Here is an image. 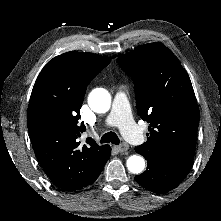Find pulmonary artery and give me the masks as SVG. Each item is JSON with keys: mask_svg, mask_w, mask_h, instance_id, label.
<instances>
[{"mask_svg": "<svg viewBox=\"0 0 221 221\" xmlns=\"http://www.w3.org/2000/svg\"><path fill=\"white\" fill-rule=\"evenodd\" d=\"M105 124L119 127L125 138L132 144L140 145L144 142V135L131 117L128 98L122 90L115 94L112 109L105 119Z\"/></svg>", "mask_w": 221, "mask_h": 221, "instance_id": "1", "label": "pulmonary artery"}]
</instances>
